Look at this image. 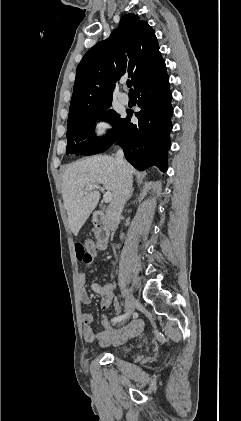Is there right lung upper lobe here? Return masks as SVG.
Listing matches in <instances>:
<instances>
[{
  "instance_id": "1",
  "label": "right lung upper lobe",
  "mask_w": 241,
  "mask_h": 421,
  "mask_svg": "<svg viewBox=\"0 0 241 421\" xmlns=\"http://www.w3.org/2000/svg\"><path fill=\"white\" fill-rule=\"evenodd\" d=\"M161 58L154 30L126 14L107 40L93 46L77 67L68 121L99 112L112 104L117 80L131 76L134 87Z\"/></svg>"
}]
</instances>
